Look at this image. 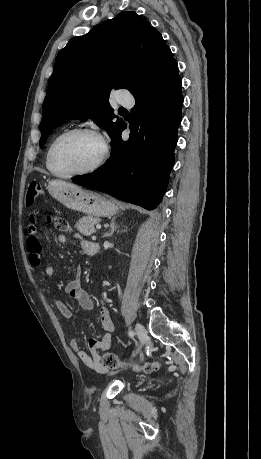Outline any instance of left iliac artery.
<instances>
[{
	"instance_id": "obj_1",
	"label": "left iliac artery",
	"mask_w": 261,
	"mask_h": 459,
	"mask_svg": "<svg viewBox=\"0 0 261 459\" xmlns=\"http://www.w3.org/2000/svg\"><path fill=\"white\" fill-rule=\"evenodd\" d=\"M128 334H129L130 337H133L135 335L133 330H130Z\"/></svg>"
}]
</instances>
